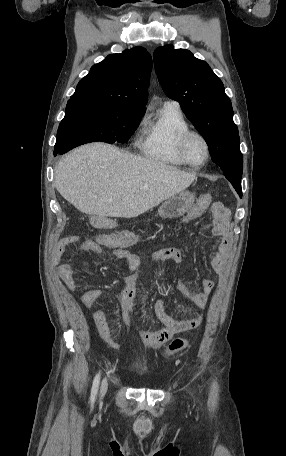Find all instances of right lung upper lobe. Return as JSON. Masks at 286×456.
Here are the masks:
<instances>
[{
  "label": "right lung upper lobe",
  "mask_w": 286,
  "mask_h": 456,
  "mask_svg": "<svg viewBox=\"0 0 286 456\" xmlns=\"http://www.w3.org/2000/svg\"><path fill=\"white\" fill-rule=\"evenodd\" d=\"M151 70V55L143 47L111 54L92 66L69 101H90L145 111Z\"/></svg>",
  "instance_id": "obj_1"
}]
</instances>
